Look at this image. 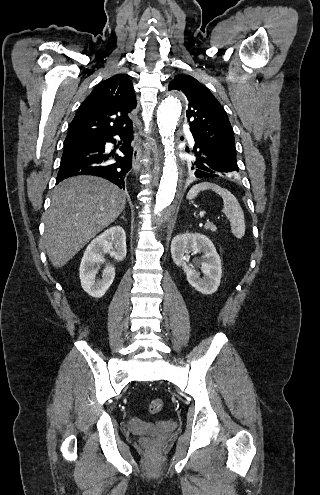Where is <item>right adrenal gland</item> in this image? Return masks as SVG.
I'll return each mask as SVG.
<instances>
[{"label":"right adrenal gland","mask_w":320,"mask_h":495,"mask_svg":"<svg viewBox=\"0 0 320 495\" xmlns=\"http://www.w3.org/2000/svg\"><path fill=\"white\" fill-rule=\"evenodd\" d=\"M124 215H125V212H123V216H121V217H120V219H124V220H125ZM125 221H126V220H125Z\"/></svg>","instance_id":"1"}]
</instances>
